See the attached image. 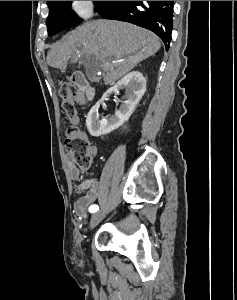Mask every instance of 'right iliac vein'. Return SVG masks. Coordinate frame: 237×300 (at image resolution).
<instances>
[{"mask_svg": "<svg viewBox=\"0 0 237 300\" xmlns=\"http://www.w3.org/2000/svg\"><path fill=\"white\" fill-rule=\"evenodd\" d=\"M103 218H104L103 212H98V213L93 214V216L91 218V223H90L91 229H93Z\"/></svg>", "mask_w": 237, "mask_h": 300, "instance_id": "right-iliac-vein-1", "label": "right iliac vein"}]
</instances>
